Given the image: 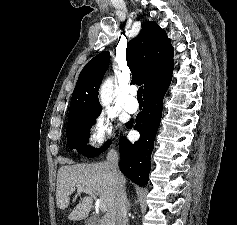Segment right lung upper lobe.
Returning <instances> with one entry per match:
<instances>
[{"mask_svg":"<svg viewBox=\"0 0 237 225\" xmlns=\"http://www.w3.org/2000/svg\"><path fill=\"white\" fill-rule=\"evenodd\" d=\"M174 49L166 32L155 22L144 23L137 37L130 40L126 60L132 72V84H144V93L172 78ZM110 54L101 52L82 69L73 91L70 111L100 114L98 89L109 67Z\"/></svg>","mask_w":237,"mask_h":225,"instance_id":"1","label":"right lung upper lobe"}]
</instances>
